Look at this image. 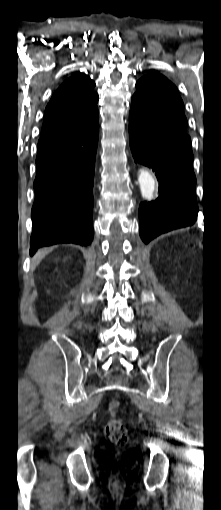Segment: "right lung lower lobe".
Returning a JSON list of instances; mask_svg holds the SVG:
<instances>
[{
  "label": "right lung lower lobe",
  "instance_id": "98d812e1",
  "mask_svg": "<svg viewBox=\"0 0 221 510\" xmlns=\"http://www.w3.org/2000/svg\"><path fill=\"white\" fill-rule=\"evenodd\" d=\"M98 118L78 133L37 146L30 255L42 246H87L93 239Z\"/></svg>",
  "mask_w": 221,
  "mask_h": 510
}]
</instances>
